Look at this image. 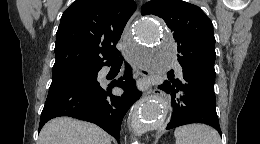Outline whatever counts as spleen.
<instances>
[{
  "mask_svg": "<svg viewBox=\"0 0 260 144\" xmlns=\"http://www.w3.org/2000/svg\"><path fill=\"white\" fill-rule=\"evenodd\" d=\"M176 144H221L218 132L203 124H189L174 131Z\"/></svg>",
  "mask_w": 260,
  "mask_h": 144,
  "instance_id": "3e777b00",
  "label": "spleen"
}]
</instances>
